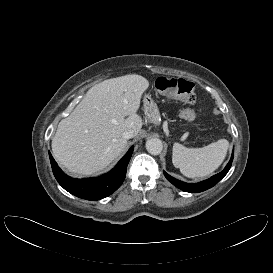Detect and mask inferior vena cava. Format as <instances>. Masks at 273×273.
Segmentation results:
<instances>
[{
	"label": "inferior vena cava",
	"mask_w": 273,
	"mask_h": 273,
	"mask_svg": "<svg viewBox=\"0 0 273 273\" xmlns=\"http://www.w3.org/2000/svg\"><path fill=\"white\" fill-rule=\"evenodd\" d=\"M123 138L125 139H130V138H133L135 136V133L133 130H126L124 133H123Z\"/></svg>",
	"instance_id": "602c4592"
}]
</instances>
